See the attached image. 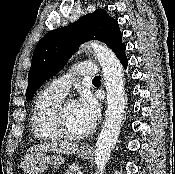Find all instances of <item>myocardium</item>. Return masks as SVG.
<instances>
[{
	"label": "myocardium",
	"mask_w": 175,
	"mask_h": 174,
	"mask_svg": "<svg viewBox=\"0 0 175 174\" xmlns=\"http://www.w3.org/2000/svg\"><path fill=\"white\" fill-rule=\"evenodd\" d=\"M70 102H74V101L73 100H62L61 103L56 108V111L54 114L55 127L58 133L64 139H68V140L83 139L91 133L92 128H89L87 131L82 132V133H73L69 131V129L66 126V122H65V109H66L67 104Z\"/></svg>",
	"instance_id": "obj_1"
}]
</instances>
